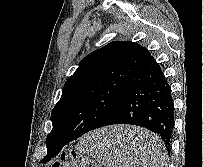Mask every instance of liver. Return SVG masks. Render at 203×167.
I'll list each match as a JSON object with an SVG mask.
<instances>
[{"instance_id":"liver-1","label":"liver","mask_w":203,"mask_h":167,"mask_svg":"<svg viewBox=\"0 0 203 167\" xmlns=\"http://www.w3.org/2000/svg\"><path fill=\"white\" fill-rule=\"evenodd\" d=\"M118 154L127 161H137L143 157V147L153 135L142 128L134 126H115L107 129Z\"/></svg>"}]
</instances>
